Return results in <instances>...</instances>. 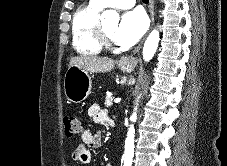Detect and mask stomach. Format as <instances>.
Masks as SVG:
<instances>
[{"instance_id": "stomach-1", "label": "stomach", "mask_w": 227, "mask_h": 166, "mask_svg": "<svg viewBox=\"0 0 227 166\" xmlns=\"http://www.w3.org/2000/svg\"><path fill=\"white\" fill-rule=\"evenodd\" d=\"M121 71L131 73L134 64L119 65ZM92 80L89 72L76 66L69 67L64 77V91L68 101L73 103L83 102L90 94Z\"/></svg>"}]
</instances>
